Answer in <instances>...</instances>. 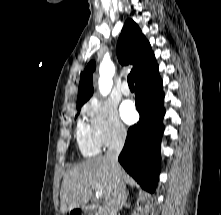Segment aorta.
I'll use <instances>...</instances> for the list:
<instances>
[{
  "mask_svg": "<svg viewBox=\"0 0 221 215\" xmlns=\"http://www.w3.org/2000/svg\"><path fill=\"white\" fill-rule=\"evenodd\" d=\"M115 73V66L111 61L104 60L99 67V90L103 96H106L111 91L113 85V76Z\"/></svg>",
  "mask_w": 221,
  "mask_h": 215,
  "instance_id": "obj_1",
  "label": "aorta"
}]
</instances>
